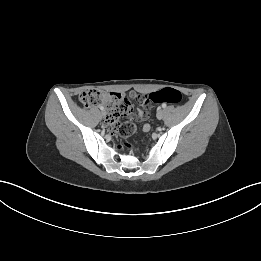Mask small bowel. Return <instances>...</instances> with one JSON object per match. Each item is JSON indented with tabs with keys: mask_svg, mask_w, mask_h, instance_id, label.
<instances>
[{
	"mask_svg": "<svg viewBox=\"0 0 261 261\" xmlns=\"http://www.w3.org/2000/svg\"><path fill=\"white\" fill-rule=\"evenodd\" d=\"M129 96H131V97H133V100H134V102H136V103H138V104H143V105H145V106H150V104H151V101L149 100V97H148V95H146V94H143V95H141V94H136L134 91H129ZM136 117L138 118V119H140V120H145V119H147V117H148V114H147V112H145V111H138L137 112V114H136ZM106 122H107V119H106ZM143 129L145 130V131H147V130H149V125L148 124H145L144 125V127H143Z\"/></svg>",
	"mask_w": 261,
	"mask_h": 261,
	"instance_id": "obj_1",
	"label": "small bowel"
}]
</instances>
